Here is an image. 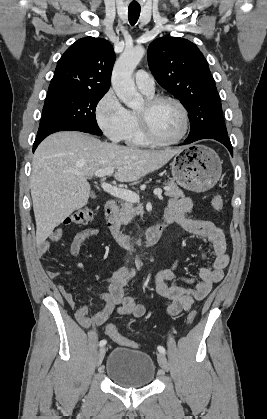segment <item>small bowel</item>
<instances>
[{
	"label": "small bowel",
	"instance_id": "1",
	"mask_svg": "<svg viewBox=\"0 0 267 419\" xmlns=\"http://www.w3.org/2000/svg\"><path fill=\"white\" fill-rule=\"evenodd\" d=\"M195 204L191 198L185 197L172 199L165 210L164 218L169 223H176L186 232L206 238L213 248L214 259L210 266H203L200 269V281L194 288L189 285L195 283L192 277L178 274L179 262L176 260L170 268L159 271L155 276L156 292L170 300L167 307L168 315H176L182 311H188L194 301L204 299L211 291L214 284L220 282L224 277V269L229 263V255L224 234L213 222L208 220H196L187 217ZM99 230L95 227L85 228L75 234L70 243V253L77 255L82 244L89 238L98 235ZM62 237V229L57 228L37 246V254L41 257L49 249L50 245ZM202 258L207 259L203 253ZM48 276L56 278L59 273L53 270L47 271ZM135 276V270L129 267H121L108 277L100 280L97 284L106 285L107 291L96 292L95 285L89 287V291L96 298L103 301L102 309L94 316H88V305L82 303L77 305L72 294L63 284H57V289L67 304L74 310L75 318L85 328L102 325L115 311L122 315L142 317L145 314L144 306L137 304L133 298L124 295V287L130 279ZM168 282L170 284H168Z\"/></svg>",
	"mask_w": 267,
	"mask_h": 419
}]
</instances>
